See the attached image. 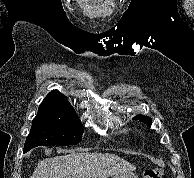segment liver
Instances as JSON below:
<instances>
[{"instance_id": "6515ba94", "label": "liver", "mask_w": 194, "mask_h": 178, "mask_svg": "<svg viewBox=\"0 0 194 178\" xmlns=\"http://www.w3.org/2000/svg\"><path fill=\"white\" fill-rule=\"evenodd\" d=\"M133 170L118 155L81 152L40 161L30 178H109Z\"/></svg>"}]
</instances>
